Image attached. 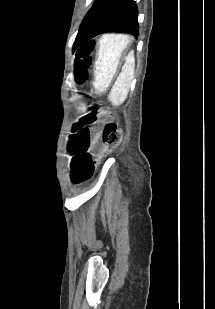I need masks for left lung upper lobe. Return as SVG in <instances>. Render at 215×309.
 Returning <instances> with one entry per match:
<instances>
[{"label":"left lung upper lobe","instance_id":"left-lung-upper-lobe-1","mask_svg":"<svg viewBox=\"0 0 215 309\" xmlns=\"http://www.w3.org/2000/svg\"><path fill=\"white\" fill-rule=\"evenodd\" d=\"M138 10L133 0H96L83 20L75 46L110 31H124L138 36Z\"/></svg>","mask_w":215,"mask_h":309}]
</instances>
